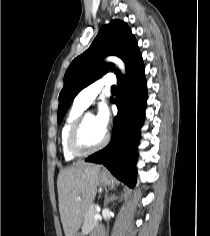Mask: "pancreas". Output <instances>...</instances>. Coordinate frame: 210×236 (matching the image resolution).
<instances>
[{
  "label": "pancreas",
  "instance_id": "cf45deb5",
  "mask_svg": "<svg viewBox=\"0 0 210 236\" xmlns=\"http://www.w3.org/2000/svg\"><path fill=\"white\" fill-rule=\"evenodd\" d=\"M97 205H91L84 216V222L82 226L83 233H89L97 224L98 220L94 219V215L97 214Z\"/></svg>",
  "mask_w": 210,
  "mask_h": 236
}]
</instances>
